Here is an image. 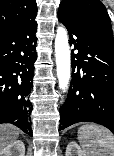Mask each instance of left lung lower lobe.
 Returning a JSON list of instances; mask_svg holds the SVG:
<instances>
[{"mask_svg": "<svg viewBox=\"0 0 114 156\" xmlns=\"http://www.w3.org/2000/svg\"><path fill=\"white\" fill-rule=\"evenodd\" d=\"M58 20L69 33L72 80L60 107V128L78 122H95L114 133V39L111 35L59 6Z\"/></svg>", "mask_w": 114, "mask_h": 156, "instance_id": "1", "label": "left lung lower lobe"}]
</instances>
